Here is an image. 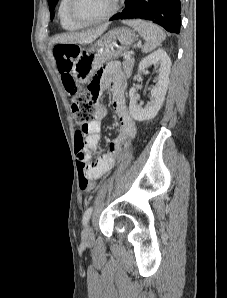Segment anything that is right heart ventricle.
<instances>
[{
  "label": "right heart ventricle",
  "mask_w": 227,
  "mask_h": 298,
  "mask_svg": "<svg viewBox=\"0 0 227 298\" xmlns=\"http://www.w3.org/2000/svg\"><path fill=\"white\" fill-rule=\"evenodd\" d=\"M67 5H68V0H61L59 7H58V17L60 20V23L62 27L66 30H77L81 26L75 24L68 16L67 14Z\"/></svg>",
  "instance_id": "right-heart-ventricle-1"
}]
</instances>
